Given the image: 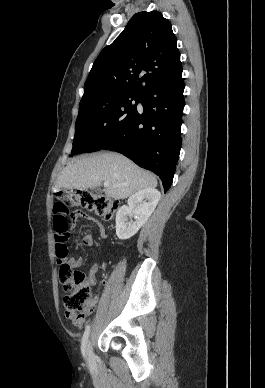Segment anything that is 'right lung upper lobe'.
<instances>
[{"mask_svg": "<svg viewBox=\"0 0 265 388\" xmlns=\"http://www.w3.org/2000/svg\"><path fill=\"white\" fill-rule=\"evenodd\" d=\"M177 38L158 11L136 13L123 32L95 60L84 97L104 90L141 95L182 74Z\"/></svg>", "mask_w": 265, "mask_h": 388, "instance_id": "cb5924a9", "label": "right lung upper lobe"}]
</instances>
